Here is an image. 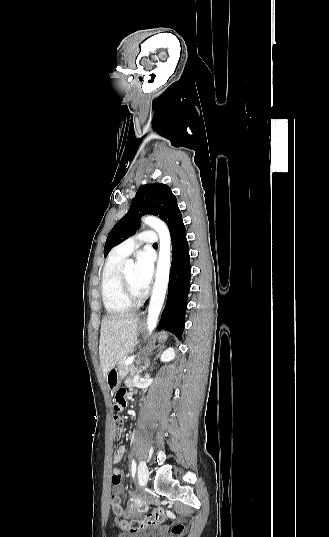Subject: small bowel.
Here are the masks:
<instances>
[{
  "label": "small bowel",
  "mask_w": 329,
  "mask_h": 537,
  "mask_svg": "<svg viewBox=\"0 0 329 537\" xmlns=\"http://www.w3.org/2000/svg\"><path fill=\"white\" fill-rule=\"evenodd\" d=\"M127 396H128V389L125 387V385H122V387H119L117 389V395L114 397V409L113 412L115 414H120L122 411L126 410L127 405ZM126 448L124 446H119L112 457V461L114 464H118L124 454H125ZM123 472L120 468L115 467L112 471V483H113V491L119 495H125V488L123 486Z\"/></svg>",
  "instance_id": "c3829d8e"
}]
</instances>
